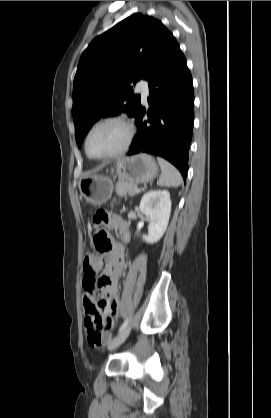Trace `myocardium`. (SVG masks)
<instances>
[{"instance_id":"obj_1","label":"myocardium","mask_w":271,"mask_h":418,"mask_svg":"<svg viewBox=\"0 0 271 418\" xmlns=\"http://www.w3.org/2000/svg\"><path fill=\"white\" fill-rule=\"evenodd\" d=\"M108 123H118L121 126H123L125 131H126V139H125L123 145L118 150H116L112 153H109L107 155H103V156H93V155L90 154L89 148H88V143H89L90 136L94 132L95 129H97L98 127H100L104 124H108ZM134 134H135V130H134L133 125L125 117L120 116V115L106 116V117L98 120L97 122H95L90 127V129L88 130V132L85 136V140H84L85 153L90 159H93V160H107V159H112V158L118 157V156L124 154L129 149V147H130V145L133 141Z\"/></svg>"}]
</instances>
